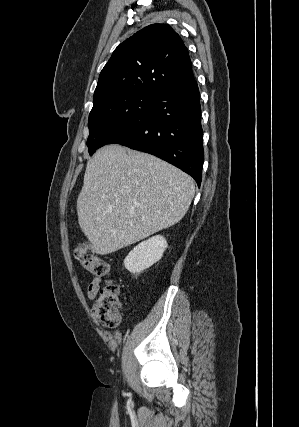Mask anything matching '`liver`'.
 I'll list each match as a JSON object with an SVG mask.
<instances>
[{
    "mask_svg": "<svg viewBox=\"0 0 299 427\" xmlns=\"http://www.w3.org/2000/svg\"><path fill=\"white\" fill-rule=\"evenodd\" d=\"M194 194L192 178L175 166L106 145L87 163L78 222L92 252L106 255L178 223Z\"/></svg>",
    "mask_w": 299,
    "mask_h": 427,
    "instance_id": "obj_1",
    "label": "liver"
}]
</instances>
